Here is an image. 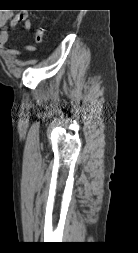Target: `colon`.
I'll list each match as a JSON object with an SVG mask.
<instances>
[{"label": "colon", "instance_id": "1", "mask_svg": "<svg viewBox=\"0 0 138 253\" xmlns=\"http://www.w3.org/2000/svg\"><path fill=\"white\" fill-rule=\"evenodd\" d=\"M34 40L35 43L40 45L45 41V28L40 26L36 28L35 34H34Z\"/></svg>", "mask_w": 138, "mask_h": 253}]
</instances>
